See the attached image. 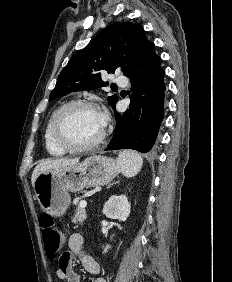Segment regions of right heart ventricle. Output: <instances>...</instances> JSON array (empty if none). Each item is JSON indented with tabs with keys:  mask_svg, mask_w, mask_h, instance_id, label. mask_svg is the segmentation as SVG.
Listing matches in <instances>:
<instances>
[{
	"mask_svg": "<svg viewBox=\"0 0 232 282\" xmlns=\"http://www.w3.org/2000/svg\"><path fill=\"white\" fill-rule=\"evenodd\" d=\"M56 111L53 112V114L51 115V117L47 122L44 132V143H45V148L50 155L59 157V156H63L67 151L57 146L51 136V122Z\"/></svg>",
	"mask_w": 232,
	"mask_h": 282,
	"instance_id": "obj_1",
	"label": "right heart ventricle"
}]
</instances>
